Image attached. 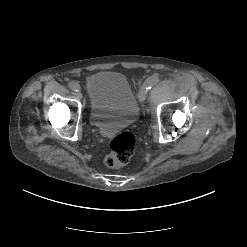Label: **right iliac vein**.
<instances>
[{
	"instance_id": "obj_1",
	"label": "right iliac vein",
	"mask_w": 247,
	"mask_h": 247,
	"mask_svg": "<svg viewBox=\"0 0 247 247\" xmlns=\"http://www.w3.org/2000/svg\"><path fill=\"white\" fill-rule=\"evenodd\" d=\"M76 95H77L78 98H82L83 97V94H82V92L80 90L76 91Z\"/></svg>"
}]
</instances>
